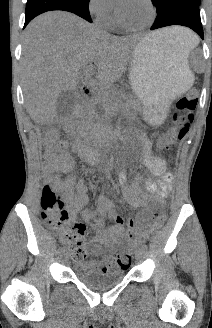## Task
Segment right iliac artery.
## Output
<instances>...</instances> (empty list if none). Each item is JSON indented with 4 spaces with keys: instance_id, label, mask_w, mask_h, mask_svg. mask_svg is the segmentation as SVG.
Segmentation results:
<instances>
[{
    "instance_id": "right-iliac-artery-1",
    "label": "right iliac artery",
    "mask_w": 212,
    "mask_h": 328,
    "mask_svg": "<svg viewBox=\"0 0 212 328\" xmlns=\"http://www.w3.org/2000/svg\"><path fill=\"white\" fill-rule=\"evenodd\" d=\"M59 252L60 253H64L65 252V249L63 247H60Z\"/></svg>"
}]
</instances>
